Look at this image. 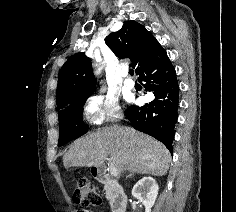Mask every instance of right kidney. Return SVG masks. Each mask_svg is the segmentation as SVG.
I'll use <instances>...</instances> for the list:
<instances>
[{
    "label": "right kidney",
    "mask_w": 236,
    "mask_h": 212,
    "mask_svg": "<svg viewBox=\"0 0 236 212\" xmlns=\"http://www.w3.org/2000/svg\"><path fill=\"white\" fill-rule=\"evenodd\" d=\"M159 187L152 177H143L132 189V195L142 202L145 212H151L158 195Z\"/></svg>",
    "instance_id": "obj_1"
}]
</instances>
